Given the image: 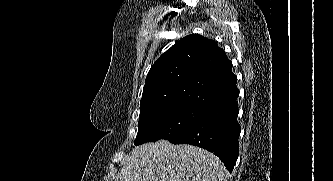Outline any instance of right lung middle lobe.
<instances>
[{
	"instance_id": "dd1d6c3e",
	"label": "right lung middle lobe",
	"mask_w": 333,
	"mask_h": 181,
	"mask_svg": "<svg viewBox=\"0 0 333 181\" xmlns=\"http://www.w3.org/2000/svg\"><path fill=\"white\" fill-rule=\"evenodd\" d=\"M205 109L194 105L170 104L140 110L134 144L171 140L191 127Z\"/></svg>"
}]
</instances>
